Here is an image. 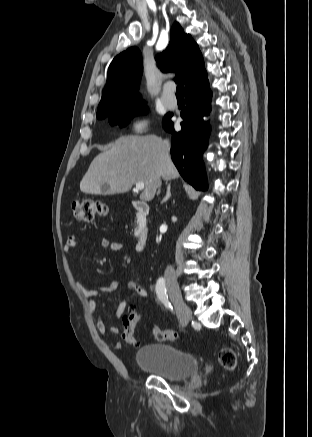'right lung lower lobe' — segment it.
Listing matches in <instances>:
<instances>
[{"label": "right lung lower lobe", "instance_id": "right-lung-lower-lobe-1", "mask_svg": "<svg viewBox=\"0 0 312 437\" xmlns=\"http://www.w3.org/2000/svg\"><path fill=\"white\" fill-rule=\"evenodd\" d=\"M187 107L182 110V129L176 133L169 117L163 122L164 128L173 133L171 157L180 175L197 190H207L206 174L202 153L207 146L209 123L203 116L211 110L207 75L185 89Z\"/></svg>", "mask_w": 312, "mask_h": 437}]
</instances>
